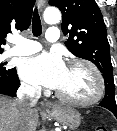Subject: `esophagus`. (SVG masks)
I'll use <instances>...</instances> for the list:
<instances>
[{
    "label": "esophagus",
    "mask_w": 117,
    "mask_h": 131,
    "mask_svg": "<svg viewBox=\"0 0 117 131\" xmlns=\"http://www.w3.org/2000/svg\"><path fill=\"white\" fill-rule=\"evenodd\" d=\"M44 3H45V0H38V8H39L40 11L42 10ZM52 108H53V105L50 102H42L41 103V109L43 111H49Z\"/></svg>",
    "instance_id": "esophagus-1"
}]
</instances>
